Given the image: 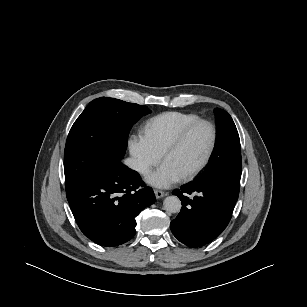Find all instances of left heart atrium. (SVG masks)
I'll return each mask as SVG.
<instances>
[{
  "mask_svg": "<svg viewBox=\"0 0 307 307\" xmlns=\"http://www.w3.org/2000/svg\"><path fill=\"white\" fill-rule=\"evenodd\" d=\"M181 179L182 174L167 162L146 176V181L149 184L159 188L169 187Z\"/></svg>",
  "mask_w": 307,
  "mask_h": 307,
  "instance_id": "obj_1",
  "label": "left heart atrium"
}]
</instances>
